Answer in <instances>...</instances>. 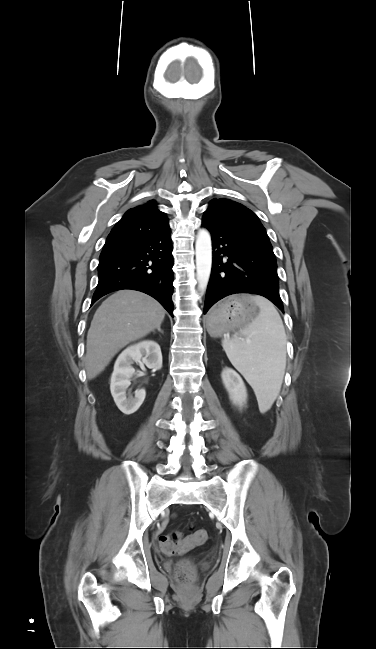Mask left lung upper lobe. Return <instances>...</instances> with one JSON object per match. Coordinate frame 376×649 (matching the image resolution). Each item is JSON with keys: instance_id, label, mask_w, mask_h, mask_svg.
Masks as SVG:
<instances>
[{"instance_id": "5c2ea615", "label": "left lung upper lobe", "mask_w": 376, "mask_h": 649, "mask_svg": "<svg viewBox=\"0 0 376 649\" xmlns=\"http://www.w3.org/2000/svg\"><path fill=\"white\" fill-rule=\"evenodd\" d=\"M204 215L271 246L266 230L258 217L237 202L213 199Z\"/></svg>"}]
</instances>
